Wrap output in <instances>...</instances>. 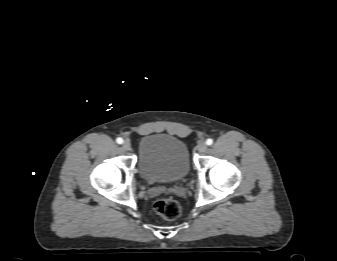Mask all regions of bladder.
Returning <instances> with one entry per match:
<instances>
[{"instance_id":"obj_1","label":"bladder","mask_w":337,"mask_h":261,"mask_svg":"<svg viewBox=\"0 0 337 261\" xmlns=\"http://www.w3.org/2000/svg\"><path fill=\"white\" fill-rule=\"evenodd\" d=\"M138 168L141 177L151 183L182 181L190 171L187 146L171 135H146L139 142Z\"/></svg>"}]
</instances>
